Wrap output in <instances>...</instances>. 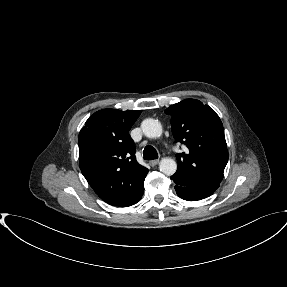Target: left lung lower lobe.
Here are the masks:
<instances>
[{"mask_svg":"<svg viewBox=\"0 0 287 287\" xmlns=\"http://www.w3.org/2000/svg\"><path fill=\"white\" fill-rule=\"evenodd\" d=\"M177 195L187 201H197L211 196L218 187L191 188L175 182Z\"/></svg>","mask_w":287,"mask_h":287,"instance_id":"0a47b994","label":"left lung lower lobe"}]
</instances>
